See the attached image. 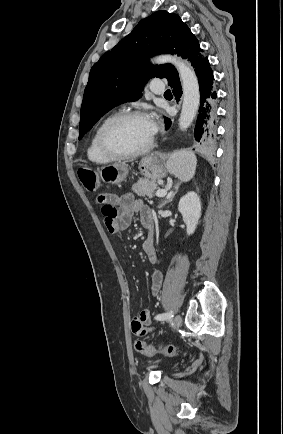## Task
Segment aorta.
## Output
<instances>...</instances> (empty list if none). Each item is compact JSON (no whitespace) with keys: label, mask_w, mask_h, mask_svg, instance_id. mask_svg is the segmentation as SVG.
Segmentation results:
<instances>
[{"label":"aorta","mask_w":283,"mask_h":434,"mask_svg":"<svg viewBox=\"0 0 283 434\" xmlns=\"http://www.w3.org/2000/svg\"><path fill=\"white\" fill-rule=\"evenodd\" d=\"M153 63H171L178 70L183 89V104L179 118L180 130H186L193 122L200 104V91L197 76L189 64L171 55L152 59Z\"/></svg>","instance_id":"obj_1"}]
</instances>
